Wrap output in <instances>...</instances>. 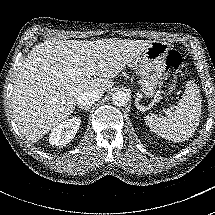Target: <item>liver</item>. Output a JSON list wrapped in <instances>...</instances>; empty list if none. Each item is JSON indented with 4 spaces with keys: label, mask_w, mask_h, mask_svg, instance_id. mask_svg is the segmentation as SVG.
<instances>
[{
    "label": "liver",
    "mask_w": 215,
    "mask_h": 215,
    "mask_svg": "<svg viewBox=\"0 0 215 215\" xmlns=\"http://www.w3.org/2000/svg\"><path fill=\"white\" fill-rule=\"evenodd\" d=\"M150 44V40L106 38L36 45L22 62L12 92L19 131L36 143L73 113L80 94L109 90L115 84L112 78Z\"/></svg>",
    "instance_id": "obj_1"
}]
</instances>
